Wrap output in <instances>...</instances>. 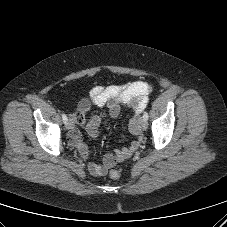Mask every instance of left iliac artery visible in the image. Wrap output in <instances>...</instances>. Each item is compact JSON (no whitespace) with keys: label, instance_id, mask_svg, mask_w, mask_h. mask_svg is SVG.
Returning <instances> with one entry per match:
<instances>
[{"label":"left iliac artery","instance_id":"left-iliac-artery-1","mask_svg":"<svg viewBox=\"0 0 227 227\" xmlns=\"http://www.w3.org/2000/svg\"><path fill=\"white\" fill-rule=\"evenodd\" d=\"M143 118H144L146 121L148 120V113H147V112H144Z\"/></svg>","mask_w":227,"mask_h":227}]
</instances>
